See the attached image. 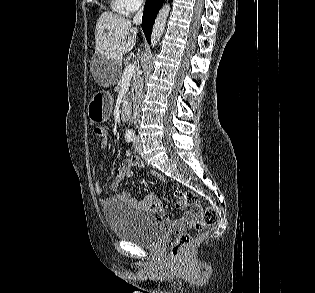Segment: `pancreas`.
Masks as SVG:
<instances>
[{
    "label": "pancreas",
    "mask_w": 315,
    "mask_h": 293,
    "mask_svg": "<svg viewBox=\"0 0 315 293\" xmlns=\"http://www.w3.org/2000/svg\"><path fill=\"white\" fill-rule=\"evenodd\" d=\"M137 77H138V76L135 74L134 77H133V80L135 81V80L137 79ZM122 81H123V78L120 77V78H119V81H118V89L121 88ZM133 89H134V83H133V86H132V88H131V91L128 93L129 95L133 93Z\"/></svg>",
    "instance_id": "1"
}]
</instances>
